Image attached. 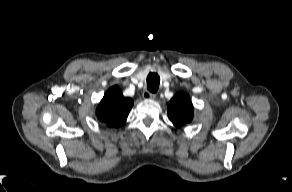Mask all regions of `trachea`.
Segmentation results:
<instances>
[{
    "instance_id": "trachea-1",
    "label": "trachea",
    "mask_w": 292,
    "mask_h": 192,
    "mask_svg": "<svg viewBox=\"0 0 292 192\" xmlns=\"http://www.w3.org/2000/svg\"><path fill=\"white\" fill-rule=\"evenodd\" d=\"M159 84H160L159 75L157 73H150L147 77V89L150 92L155 93L159 88Z\"/></svg>"
}]
</instances>
